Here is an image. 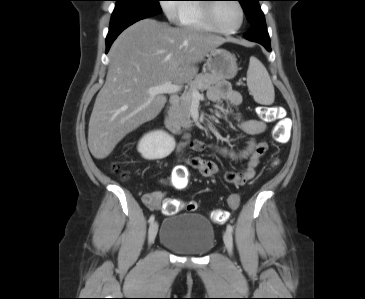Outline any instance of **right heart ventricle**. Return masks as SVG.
<instances>
[{
	"mask_svg": "<svg viewBox=\"0 0 365 299\" xmlns=\"http://www.w3.org/2000/svg\"><path fill=\"white\" fill-rule=\"evenodd\" d=\"M198 1V0H188ZM204 4H182L180 6L179 24L195 29L211 31L205 20Z\"/></svg>",
	"mask_w": 365,
	"mask_h": 299,
	"instance_id": "e07e8e85",
	"label": "right heart ventricle"
}]
</instances>
